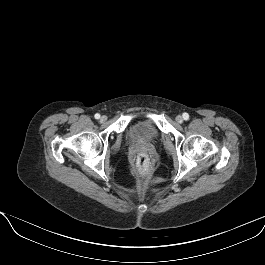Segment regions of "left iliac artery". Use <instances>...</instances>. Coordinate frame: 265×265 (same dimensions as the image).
Returning <instances> with one entry per match:
<instances>
[{
	"label": "left iliac artery",
	"mask_w": 265,
	"mask_h": 265,
	"mask_svg": "<svg viewBox=\"0 0 265 265\" xmlns=\"http://www.w3.org/2000/svg\"><path fill=\"white\" fill-rule=\"evenodd\" d=\"M183 118H184L185 120H188V119H189V115H188V113H184V114H183Z\"/></svg>",
	"instance_id": "1"
}]
</instances>
